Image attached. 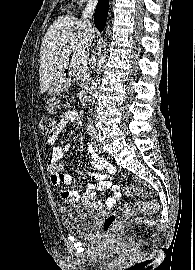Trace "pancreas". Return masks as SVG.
<instances>
[{"instance_id": "pancreas-1", "label": "pancreas", "mask_w": 195, "mask_h": 270, "mask_svg": "<svg viewBox=\"0 0 195 270\" xmlns=\"http://www.w3.org/2000/svg\"><path fill=\"white\" fill-rule=\"evenodd\" d=\"M71 74L80 81V86L84 88L90 81V69L87 60H77L74 56L70 62Z\"/></svg>"}]
</instances>
